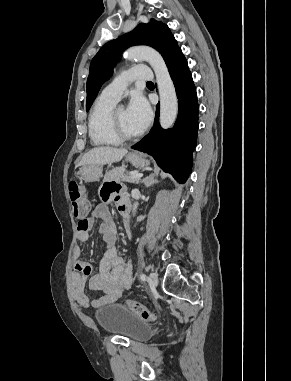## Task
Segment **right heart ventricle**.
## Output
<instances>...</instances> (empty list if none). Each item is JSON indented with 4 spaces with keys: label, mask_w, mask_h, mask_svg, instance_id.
<instances>
[{
    "label": "right heart ventricle",
    "mask_w": 291,
    "mask_h": 381,
    "mask_svg": "<svg viewBox=\"0 0 291 381\" xmlns=\"http://www.w3.org/2000/svg\"><path fill=\"white\" fill-rule=\"evenodd\" d=\"M117 101L99 96L88 116V134L91 143L97 147L117 146L120 144L109 125V117L111 111Z\"/></svg>",
    "instance_id": "1"
}]
</instances>
